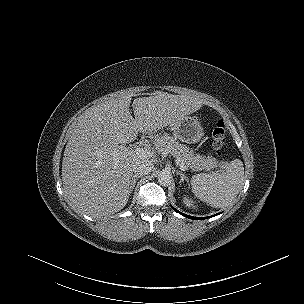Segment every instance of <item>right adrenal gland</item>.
Instances as JSON below:
<instances>
[{
	"instance_id": "obj_1",
	"label": "right adrenal gland",
	"mask_w": 304,
	"mask_h": 304,
	"mask_svg": "<svg viewBox=\"0 0 304 304\" xmlns=\"http://www.w3.org/2000/svg\"><path fill=\"white\" fill-rule=\"evenodd\" d=\"M140 178V176L138 175H133L132 180H131V185H130V192L133 191L135 185H136V181L137 179Z\"/></svg>"
}]
</instances>
